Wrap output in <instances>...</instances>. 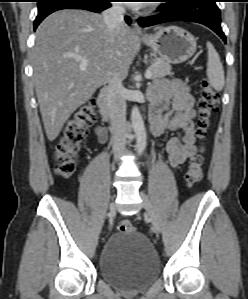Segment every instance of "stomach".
Masks as SVG:
<instances>
[{"label":"stomach","instance_id":"obj_1","mask_svg":"<svg viewBox=\"0 0 248 299\" xmlns=\"http://www.w3.org/2000/svg\"><path fill=\"white\" fill-rule=\"evenodd\" d=\"M142 41L170 64L183 63L196 51L194 36L177 26L161 27L154 34L145 35Z\"/></svg>","mask_w":248,"mask_h":299}]
</instances>
